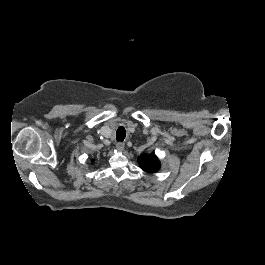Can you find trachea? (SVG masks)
Here are the masks:
<instances>
[{"mask_svg":"<svg viewBox=\"0 0 265 265\" xmlns=\"http://www.w3.org/2000/svg\"><path fill=\"white\" fill-rule=\"evenodd\" d=\"M125 137H126L125 128L122 126L118 127L117 132H116L117 141H123Z\"/></svg>","mask_w":265,"mask_h":265,"instance_id":"trachea-1","label":"trachea"}]
</instances>
